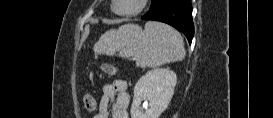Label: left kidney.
<instances>
[{
  "label": "left kidney",
  "instance_id": "5707ae66",
  "mask_svg": "<svg viewBox=\"0 0 273 118\" xmlns=\"http://www.w3.org/2000/svg\"><path fill=\"white\" fill-rule=\"evenodd\" d=\"M176 83L177 76L169 69L157 68L147 72L134 87L131 118H159L171 101ZM142 101H145V110H141Z\"/></svg>",
  "mask_w": 273,
  "mask_h": 118
}]
</instances>
